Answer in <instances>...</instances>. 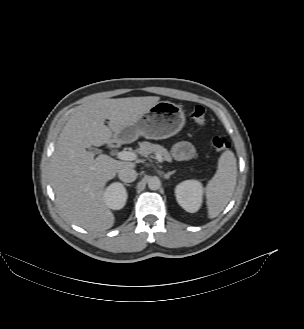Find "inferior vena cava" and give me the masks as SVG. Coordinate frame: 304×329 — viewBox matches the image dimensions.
I'll return each mask as SVG.
<instances>
[{"mask_svg": "<svg viewBox=\"0 0 304 329\" xmlns=\"http://www.w3.org/2000/svg\"><path fill=\"white\" fill-rule=\"evenodd\" d=\"M118 177L121 181L130 183L137 178V172L132 168H123L119 170Z\"/></svg>", "mask_w": 304, "mask_h": 329, "instance_id": "602c4592", "label": "inferior vena cava"}]
</instances>
